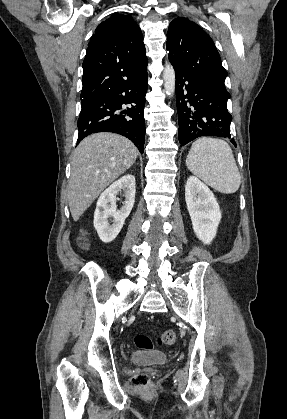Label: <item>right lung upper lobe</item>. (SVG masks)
<instances>
[{"label": "right lung upper lobe", "instance_id": "obj_1", "mask_svg": "<svg viewBox=\"0 0 287 419\" xmlns=\"http://www.w3.org/2000/svg\"><path fill=\"white\" fill-rule=\"evenodd\" d=\"M139 26L130 15L113 14L95 30L83 62L81 105L147 72Z\"/></svg>", "mask_w": 287, "mask_h": 419}]
</instances>
